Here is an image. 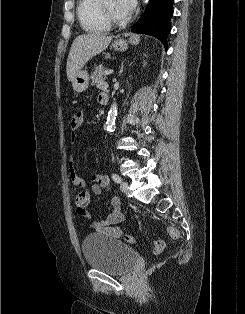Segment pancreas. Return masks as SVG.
Wrapping results in <instances>:
<instances>
[{"label":"pancreas","instance_id":"cf45deb5","mask_svg":"<svg viewBox=\"0 0 245 314\" xmlns=\"http://www.w3.org/2000/svg\"><path fill=\"white\" fill-rule=\"evenodd\" d=\"M105 71H107L106 68L103 66H97L94 68L93 73L91 74V83L92 85H97L105 80Z\"/></svg>","mask_w":245,"mask_h":314}]
</instances>
